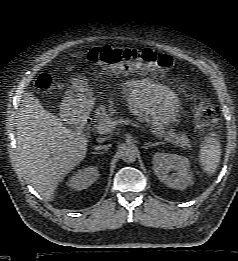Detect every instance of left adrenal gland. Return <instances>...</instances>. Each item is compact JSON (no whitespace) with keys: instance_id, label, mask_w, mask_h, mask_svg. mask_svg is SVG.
Segmentation results:
<instances>
[{"instance_id":"a2214340","label":"left adrenal gland","mask_w":238,"mask_h":261,"mask_svg":"<svg viewBox=\"0 0 238 261\" xmlns=\"http://www.w3.org/2000/svg\"><path fill=\"white\" fill-rule=\"evenodd\" d=\"M161 144H163V142L145 143L143 148L145 150H147L150 147H154V146L161 145Z\"/></svg>"}]
</instances>
